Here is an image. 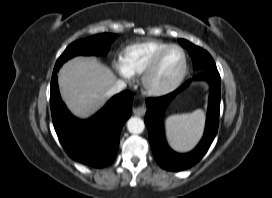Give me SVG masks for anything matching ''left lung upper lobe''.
<instances>
[{"label": "left lung upper lobe", "instance_id": "5c2ea615", "mask_svg": "<svg viewBox=\"0 0 272 198\" xmlns=\"http://www.w3.org/2000/svg\"><path fill=\"white\" fill-rule=\"evenodd\" d=\"M178 42L189 50V54L194 60V68H202L204 70L216 68L213 58L206 50L195 46L184 39H179Z\"/></svg>", "mask_w": 272, "mask_h": 198}]
</instances>
